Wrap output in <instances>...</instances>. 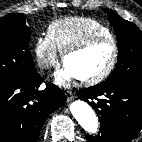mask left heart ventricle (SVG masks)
<instances>
[{
    "label": "left heart ventricle",
    "instance_id": "left-heart-ventricle-1",
    "mask_svg": "<svg viewBox=\"0 0 142 142\" xmlns=\"http://www.w3.org/2000/svg\"><path fill=\"white\" fill-rule=\"evenodd\" d=\"M113 55V45L110 41L102 40L91 44L86 49L71 54L65 60L76 74L77 78L94 76L103 71Z\"/></svg>",
    "mask_w": 142,
    "mask_h": 142
}]
</instances>
